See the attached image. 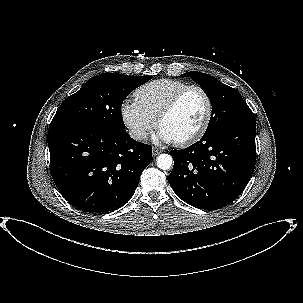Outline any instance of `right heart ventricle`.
<instances>
[{
  "mask_svg": "<svg viewBox=\"0 0 303 303\" xmlns=\"http://www.w3.org/2000/svg\"><path fill=\"white\" fill-rule=\"evenodd\" d=\"M186 86L188 83L181 80H154L138 88L135 92V98L151 117L157 119L171 98Z\"/></svg>",
  "mask_w": 303,
  "mask_h": 303,
  "instance_id": "e07e8e85",
  "label": "right heart ventricle"
}]
</instances>
